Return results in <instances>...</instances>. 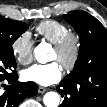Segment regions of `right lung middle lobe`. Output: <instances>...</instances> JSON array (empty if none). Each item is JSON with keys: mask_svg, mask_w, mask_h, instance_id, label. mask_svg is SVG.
<instances>
[{"mask_svg": "<svg viewBox=\"0 0 107 107\" xmlns=\"http://www.w3.org/2000/svg\"><path fill=\"white\" fill-rule=\"evenodd\" d=\"M3 31L0 33V81L16 72V62L12 44L28 29V24L0 17Z\"/></svg>", "mask_w": 107, "mask_h": 107, "instance_id": "1", "label": "right lung middle lobe"}]
</instances>
